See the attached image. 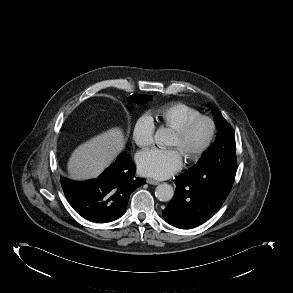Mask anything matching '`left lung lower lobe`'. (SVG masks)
I'll use <instances>...</instances> for the list:
<instances>
[{
  "label": "left lung lower lobe",
  "mask_w": 293,
  "mask_h": 293,
  "mask_svg": "<svg viewBox=\"0 0 293 293\" xmlns=\"http://www.w3.org/2000/svg\"><path fill=\"white\" fill-rule=\"evenodd\" d=\"M237 162L217 168H190L175 178V195L162 212L171 225L189 229L196 227L222 206L236 174Z\"/></svg>",
  "instance_id": "0a47b994"
}]
</instances>
